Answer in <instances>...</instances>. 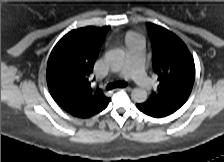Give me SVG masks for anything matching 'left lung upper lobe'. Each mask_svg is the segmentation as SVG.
<instances>
[{
  "label": "left lung upper lobe",
  "instance_id": "obj_1",
  "mask_svg": "<svg viewBox=\"0 0 224 162\" xmlns=\"http://www.w3.org/2000/svg\"><path fill=\"white\" fill-rule=\"evenodd\" d=\"M147 28L159 85L143 105L178 110L187 101L194 84L193 57L183 41L172 32L153 23H147Z\"/></svg>",
  "mask_w": 224,
  "mask_h": 162
}]
</instances>
